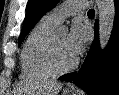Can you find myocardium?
Segmentation results:
<instances>
[{"label": "myocardium", "mask_w": 119, "mask_h": 95, "mask_svg": "<svg viewBox=\"0 0 119 95\" xmlns=\"http://www.w3.org/2000/svg\"><path fill=\"white\" fill-rule=\"evenodd\" d=\"M46 61L48 67L53 72V74H63L72 71L78 65V59H75L71 64L66 66H61L56 58V48H55V34L53 33L48 41L46 49Z\"/></svg>", "instance_id": "f54148a6"}]
</instances>
